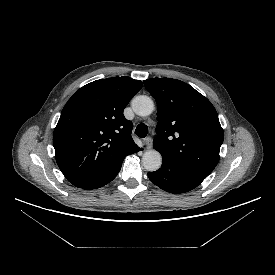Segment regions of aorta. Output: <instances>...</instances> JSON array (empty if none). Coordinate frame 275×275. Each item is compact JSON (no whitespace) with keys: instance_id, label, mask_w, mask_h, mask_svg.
<instances>
[{"instance_id":"762f6f07","label":"aorta","mask_w":275,"mask_h":275,"mask_svg":"<svg viewBox=\"0 0 275 275\" xmlns=\"http://www.w3.org/2000/svg\"><path fill=\"white\" fill-rule=\"evenodd\" d=\"M132 109L139 116H148L154 110V102L150 97L140 95L132 100ZM142 164L147 171H157L161 167L162 156L156 150H148L142 156Z\"/></svg>"}]
</instances>
